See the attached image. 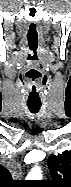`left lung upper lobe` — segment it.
Here are the masks:
<instances>
[{
	"instance_id": "obj_1",
	"label": "left lung upper lobe",
	"mask_w": 71,
	"mask_h": 187,
	"mask_svg": "<svg viewBox=\"0 0 71 187\" xmlns=\"http://www.w3.org/2000/svg\"><path fill=\"white\" fill-rule=\"evenodd\" d=\"M48 167L53 180L44 181L52 187H71V150L62 154L51 155L48 158Z\"/></svg>"
}]
</instances>
